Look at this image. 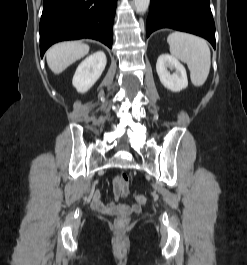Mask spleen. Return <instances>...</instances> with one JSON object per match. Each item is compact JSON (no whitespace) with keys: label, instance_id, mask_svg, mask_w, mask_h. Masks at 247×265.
<instances>
[{"label":"spleen","instance_id":"spleen-1","mask_svg":"<svg viewBox=\"0 0 247 265\" xmlns=\"http://www.w3.org/2000/svg\"><path fill=\"white\" fill-rule=\"evenodd\" d=\"M167 42L170 53L188 65L193 85L202 86L211 65L210 49L206 41L195 35L176 31L168 36Z\"/></svg>","mask_w":247,"mask_h":265}]
</instances>
